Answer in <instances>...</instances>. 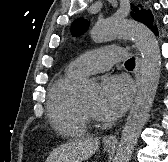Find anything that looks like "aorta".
Wrapping results in <instances>:
<instances>
[{"mask_svg": "<svg viewBox=\"0 0 168 162\" xmlns=\"http://www.w3.org/2000/svg\"><path fill=\"white\" fill-rule=\"evenodd\" d=\"M90 35L97 43L116 38H132L142 56L141 78L137 95L113 160V162H129L158 88L161 71L159 44L154 33L145 25L114 17L96 23L92 27ZM93 92V85L87 82L82 84L80 89L82 96H88Z\"/></svg>", "mask_w": 168, "mask_h": 162, "instance_id": "aorta-1", "label": "aorta"}]
</instances>
